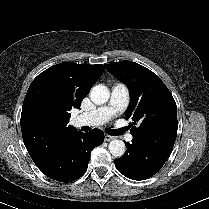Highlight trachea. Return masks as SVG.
Returning <instances> with one entry per match:
<instances>
[{
    "label": "trachea",
    "mask_w": 209,
    "mask_h": 209,
    "mask_svg": "<svg viewBox=\"0 0 209 209\" xmlns=\"http://www.w3.org/2000/svg\"><path fill=\"white\" fill-rule=\"evenodd\" d=\"M109 135L116 136L122 133V130H114V129H107L106 130Z\"/></svg>",
    "instance_id": "3493384b"
}]
</instances>
